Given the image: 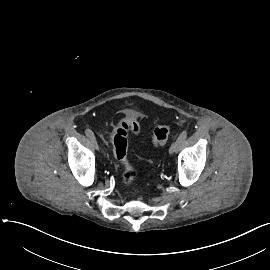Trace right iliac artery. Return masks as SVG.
I'll use <instances>...</instances> for the list:
<instances>
[{
  "instance_id": "obj_1",
  "label": "right iliac artery",
  "mask_w": 270,
  "mask_h": 270,
  "mask_svg": "<svg viewBox=\"0 0 270 270\" xmlns=\"http://www.w3.org/2000/svg\"><path fill=\"white\" fill-rule=\"evenodd\" d=\"M85 134H86V136L89 137V138L95 137V136H94V133H93L90 129H86V130H85Z\"/></svg>"
}]
</instances>
